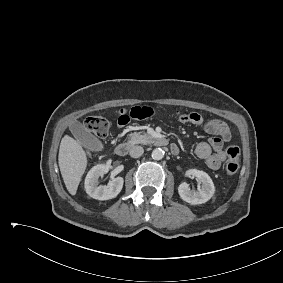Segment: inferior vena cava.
<instances>
[{
    "mask_svg": "<svg viewBox=\"0 0 283 283\" xmlns=\"http://www.w3.org/2000/svg\"><path fill=\"white\" fill-rule=\"evenodd\" d=\"M144 153V149L143 147L141 146H133L131 149H130V156L132 158H138L140 157L142 154Z\"/></svg>",
    "mask_w": 283,
    "mask_h": 283,
    "instance_id": "inferior-vena-cava-1",
    "label": "inferior vena cava"
}]
</instances>
